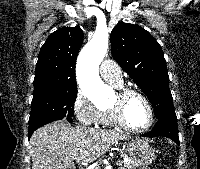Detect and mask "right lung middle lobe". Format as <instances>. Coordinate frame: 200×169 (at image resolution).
<instances>
[{
	"label": "right lung middle lobe",
	"mask_w": 200,
	"mask_h": 169,
	"mask_svg": "<svg viewBox=\"0 0 200 169\" xmlns=\"http://www.w3.org/2000/svg\"><path fill=\"white\" fill-rule=\"evenodd\" d=\"M77 84L34 90L29 124L49 119H68L74 114Z\"/></svg>",
	"instance_id": "right-lung-middle-lobe-1"
}]
</instances>
